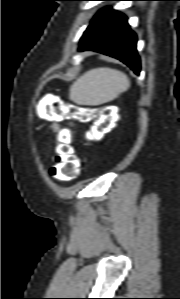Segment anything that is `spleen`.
<instances>
[{
    "label": "spleen",
    "mask_w": 180,
    "mask_h": 299,
    "mask_svg": "<svg viewBox=\"0 0 180 299\" xmlns=\"http://www.w3.org/2000/svg\"><path fill=\"white\" fill-rule=\"evenodd\" d=\"M130 81L123 72L107 67L91 69L70 87V99L79 105H100L125 92Z\"/></svg>",
    "instance_id": "3e777b00"
}]
</instances>
